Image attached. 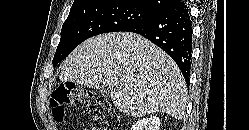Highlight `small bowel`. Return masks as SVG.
<instances>
[{
  "mask_svg": "<svg viewBox=\"0 0 249 130\" xmlns=\"http://www.w3.org/2000/svg\"><path fill=\"white\" fill-rule=\"evenodd\" d=\"M85 130H101V129L99 127L94 126V127H91L89 129H85Z\"/></svg>",
  "mask_w": 249,
  "mask_h": 130,
  "instance_id": "small-bowel-1",
  "label": "small bowel"
}]
</instances>
